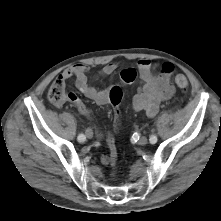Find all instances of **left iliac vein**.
<instances>
[{
	"label": "left iliac vein",
	"mask_w": 221,
	"mask_h": 221,
	"mask_svg": "<svg viewBox=\"0 0 221 221\" xmlns=\"http://www.w3.org/2000/svg\"><path fill=\"white\" fill-rule=\"evenodd\" d=\"M148 143V139L145 136H142L139 140H138V144L139 145H145Z\"/></svg>",
	"instance_id": "4c4485c4"
}]
</instances>
